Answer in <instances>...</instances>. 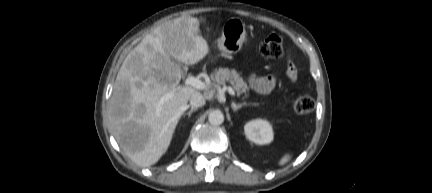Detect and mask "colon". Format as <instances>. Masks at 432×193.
Masks as SVG:
<instances>
[{"mask_svg": "<svg viewBox=\"0 0 432 193\" xmlns=\"http://www.w3.org/2000/svg\"><path fill=\"white\" fill-rule=\"evenodd\" d=\"M260 52L268 58H280L284 54L283 41L278 35H271L262 41ZM294 110L299 114H307L314 110L315 102L307 94H301L295 98H290Z\"/></svg>", "mask_w": 432, "mask_h": 193, "instance_id": "obj_1", "label": "colon"}]
</instances>
